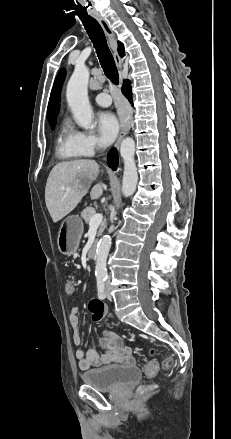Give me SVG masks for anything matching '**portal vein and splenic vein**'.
Listing matches in <instances>:
<instances>
[{
  "instance_id": "18ae733b",
  "label": "portal vein and splenic vein",
  "mask_w": 231,
  "mask_h": 439,
  "mask_svg": "<svg viewBox=\"0 0 231 439\" xmlns=\"http://www.w3.org/2000/svg\"><path fill=\"white\" fill-rule=\"evenodd\" d=\"M103 221V215L98 213L91 217L89 226L90 227H98Z\"/></svg>"
}]
</instances>
